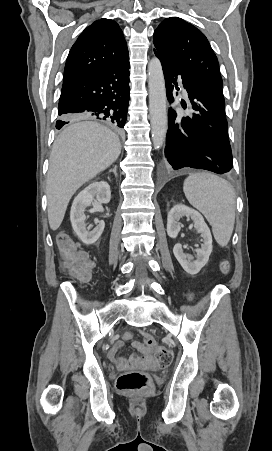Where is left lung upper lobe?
<instances>
[{"instance_id":"left-lung-upper-lobe-1","label":"left lung upper lobe","mask_w":272,"mask_h":451,"mask_svg":"<svg viewBox=\"0 0 272 451\" xmlns=\"http://www.w3.org/2000/svg\"><path fill=\"white\" fill-rule=\"evenodd\" d=\"M157 53L224 102L219 65L207 38L181 18L170 17L154 32Z\"/></svg>"}]
</instances>
